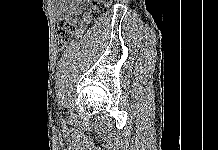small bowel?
I'll list each match as a JSON object with an SVG mask.
<instances>
[{
  "mask_svg": "<svg viewBox=\"0 0 218 150\" xmlns=\"http://www.w3.org/2000/svg\"><path fill=\"white\" fill-rule=\"evenodd\" d=\"M87 0H53L57 19H68L80 11V5Z\"/></svg>",
  "mask_w": 218,
  "mask_h": 150,
  "instance_id": "obj_1",
  "label": "small bowel"
}]
</instances>
